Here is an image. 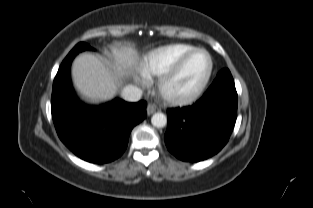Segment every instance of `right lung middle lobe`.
<instances>
[{
    "label": "right lung middle lobe",
    "mask_w": 313,
    "mask_h": 208,
    "mask_svg": "<svg viewBox=\"0 0 313 208\" xmlns=\"http://www.w3.org/2000/svg\"><path fill=\"white\" fill-rule=\"evenodd\" d=\"M90 46L86 43H79L77 44L72 50L71 52L68 54V55H73L79 51H83V50H86V49H89Z\"/></svg>",
    "instance_id": "1"
}]
</instances>
